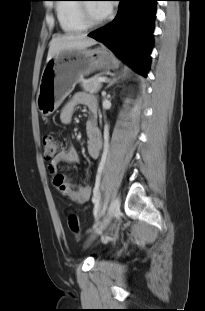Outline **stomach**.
I'll use <instances>...</instances> for the list:
<instances>
[{
  "instance_id": "stomach-1",
  "label": "stomach",
  "mask_w": 205,
  "mask_h": 311,
  "mask_svg": "<svg viewBox=\"0 0 205 311\" xmlns=\"http://www.w3.org/2000/svg\"><path fill=\"white\" fill-rule=\"evenodd\" d=\"M117 66V59L103 48L62 51L48 60L42 71L36 98L39 111L51 115L83 76Z\"/></svg>"
}]
</instances>
